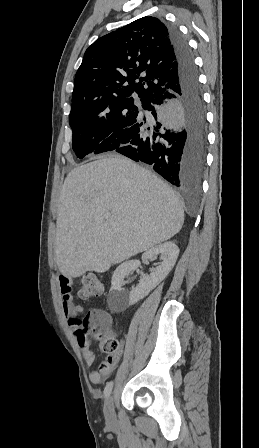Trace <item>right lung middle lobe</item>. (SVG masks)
<instances>
[{
	"mask_svg": "<svg viewBox=\"0 0 259 448\" xmlns=\"http://www.w3.org/2000/svg\"><path fill=\"white\" fill-rule=\"evenodd\" d=\"M139 105L115 107L104 111L71 114L72 148L78 158L89 153L112 151L118 138L140 114Z\"/></svg>",
	"mask_w": 259,
	"mask_h": 448,
	"instance_id": "obj_1",
	"label": "right lung middle lobe"
}]
</instances>
